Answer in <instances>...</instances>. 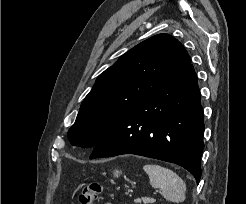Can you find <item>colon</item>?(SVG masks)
<instances>
[{
  "instance_id": "obj_1",
  "label": "colon",
  "mask_w": 246,
  "mask_h": 204,
  "mask_svg": "<svg viewBox=\"0 0 246 204\" xmlns=\"http://www.w3.org/2000/svg\"><path fill=\"white\" fill-rule=\"evenodd\" d=\"M102 191V187L97 182H91L82 188L79 194L80 204H93Z\"/></svg>"
}]
</instances>
